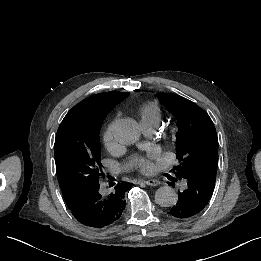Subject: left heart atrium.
Masks as SVG:
<instances>
[{
  "label": "left heart atrium",
  "instance_id": "obj_1",
  "mask_svg": "<svg viewBox=\"0 0 261 261\" xmlns=\"http://www.w3.org/2000/svg\"><path fill=\"white\" fill-rule=\"evenodd\" d=\"M160 156L155 152H149L142 156H134L130 159L131 165L146 174L157 171L159 167Z\"/></svg>",
  "mask_w": 261,
  "mask_h": 261
}]
</instances>
